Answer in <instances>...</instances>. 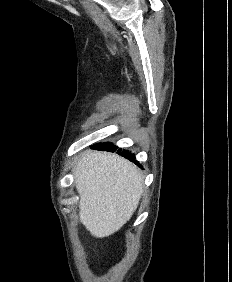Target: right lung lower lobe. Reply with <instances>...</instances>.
Wrapping results in <instances>:
<instances>
[{"label": "right lung lower lobe", "instance_id": "98d812e1", "mask_svg": "<svg viewBox=\"0 0 232 282\" xmlns=\"http://www.w3.org/2000/svg\"><path fill=\"white\" fill-rule=\"evenodd\" d=\"M92 148L94 149H97V150H101V149H104V150H107V151H116V149L118 148L117 146L111 144V143H99V144H96L94 145ZM121 149H119L117 152L118 154L122 155V156H126L128 159H130L131 161L135 159V157L131 154V153H128V151H125V153H127L126 155L124 154V152H120ZM136 164H138V162L135 161ZM141 166V165H139Z\"/></svg>", "mask_w": 232, "mask_h": 282}]
</instances>
